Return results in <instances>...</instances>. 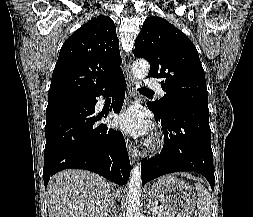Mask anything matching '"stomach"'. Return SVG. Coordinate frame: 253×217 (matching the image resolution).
Wrapping results in <instances>:
<instances>
[{"instance_id": "0dacf381", "label": "stomach", "mask_w": 253, "mask_h": 217, "mask_svg": "<svg viewBox=\"0 0 253 217\" xmlns=\"http://www.w3.org/2000/svg\"><path fill=\"white\" fill-rule=\"evenodd\" d=\"M148 194L172 217H192L197 203L192 187L171 175L159 178L148 188Z\"/></svg>"}]
</instances>
